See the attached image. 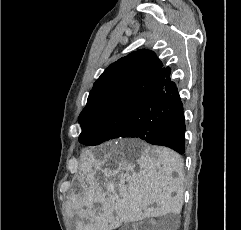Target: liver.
<instances>
[{
  "label": "liver",
  "mask_w": 241,
  "mask_h": 230,
  "mask_svg": "<svg viewBox=\"0 0 241 230\" xmlns=\"http://www.w3.org/2000/svg\"><path fill=\"white\" fill-rule=\"evenodd\" d=\"M137 147L144 148V155L136 162L127 161L126 157ZM81 170L83 194H72L67 205L71 214L89 222L79 221L76 230H110L115 224L181 212L183 161L171 149L151 148L139 141L121 143L119 147L110 145L99 159L90 152L84 153ZM99 175L117 180L118 194L105 193ZM95 203L101 206L95 208ZM153 204L157 207H150Z\"/></svg>",
  "instance_id": "liver-1"
}]
</instances>
